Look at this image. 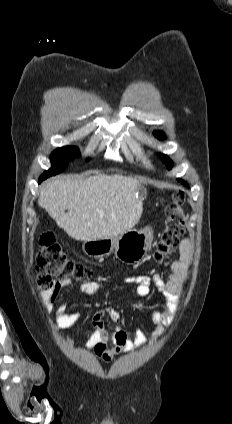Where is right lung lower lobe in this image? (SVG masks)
Instances as JSON below:
<instances>
[{
    "mask_svg": "<svg viewBox=\"0 0 232 424\" xmlns=\"http://www.w3.org/2000/svg\"><path fill=\"white\" fill-rule=\"evenodd\" d=\"M42 181V179H39V183Z\"/></svg>",
    "mask_w": 232,
    "mask_h": 424,
    "instance_id": "98d812e1",
    "label": "right lung lower lobe"
}]
</instances>
